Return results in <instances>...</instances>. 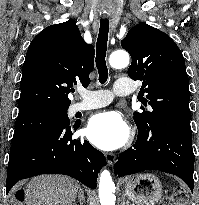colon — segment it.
Returning <instances> with one entry per match:
<instances>
[{"label":"colon","instance_id":"obj_1","mask_svg":"<svg viewBox=\"0 0 199 205\" xmlns=\"http://www.w3.org/2000/svg\"><path fill=\"white\" fill-rule=\"evenodd\" d=\"M185 200V191L183 189H178L175 196L163 198L160 205H181Z\"/></svg>","mask_w":199,"mask_h":205}]
</instances>
